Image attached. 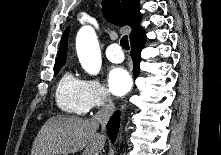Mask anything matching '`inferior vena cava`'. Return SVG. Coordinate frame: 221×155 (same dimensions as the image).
<instances>
[{
    "instance_id": "602c4592",
    "label": "inferior vena cava",
    "mask_w": 221,
    "mask_h": 155,
    "mask_svg": "<svg viewBox=\"0 0 221 155\" xmlns=\"http://www.w3.org/2000/svg\"><path fill=\"white\" fill-rule=\"evenodd\" d=\"M115 110V105L112 102V99L110 97V94L107 93L105 104L102 106V108L94 115L93 120L97 123H100L102 126V129L105 128L110 116L113 114Z\"/></svg>"
}]
</instances>
